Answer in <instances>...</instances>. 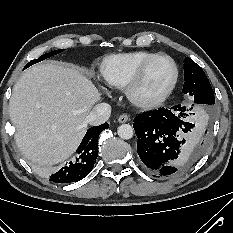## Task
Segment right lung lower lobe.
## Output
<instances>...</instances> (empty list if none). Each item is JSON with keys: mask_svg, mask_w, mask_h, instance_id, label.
Wrapping results in <instances>:
<instances>
[{"mask_svg": "<svg viewBox=\"0 0 233 233\" xmlns=\"http://www.w3.org/2000/svg\"><path fill=\"white\" fill-rule=\"evenodd\" d=\"M109 127L108 123L91 127L77 149L75 158L50 177L56 183L76 182L86 177L93 169L98 156V138Z\"/></svg>", "mask_w": 233, "mask_h": 233, "instance_id": "1", "label": "right lung lower lobe"}]
</instances>
